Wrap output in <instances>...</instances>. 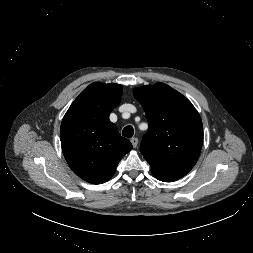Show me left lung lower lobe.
Wrapping results in <instances>:
<instances>
[{"instance_id":"0a47b994","label":"left lung lower lobe","mask_w":253,"mask_h":253,"mask_svg":"<svg viewBox=\"0 0 253 253\" xmlns=\"http://www.w3.org/2000/svg\"><path fill=\"white\" fill-rule=\"evenodd\" d=\"M153 175L155 176V178H157L158 180L163 181V182H173V181L178 180V179L165 177V176H161V175H157V174H153Z\"/></svg>"}]
</instances>
